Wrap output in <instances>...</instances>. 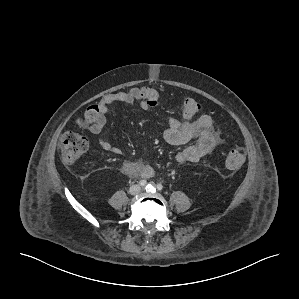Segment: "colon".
<instances>
[{
    "mask_svg": "<svg viewBox=\"0 0 299 299\" xmlns=\"http://www.w3.org/2000/svg\"><path fill=\"white\" fill-rule=\"evenodd\" d=\"M140 93L145 102L150 106H156L159 101V92L154 87H142ZM181 115L191 119L200 111L199 103L193 98H185L180 104ZM100 116L99 105L89 106L84 115L79 119L83 126L95 123ZM87 139L75 132H67L62 136L60 143L61 157L64 163L71 164L77 161L87 150ZM245 163V153L242 149L231 150L226 158L225 164L228 169L235 170Z\"/></svg>",
    "mask_w": 299,
    "mask_h": 299,
    "instance_id": "colon-1",
    "label": "colon"
}]
</instances>
